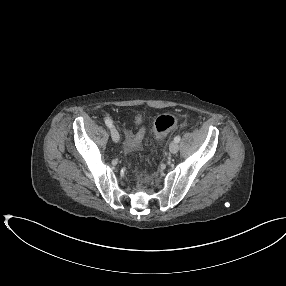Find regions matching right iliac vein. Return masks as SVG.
I'll return each mask as SVG.
<instances>
[{
	"label": "right iliac vein",
	"mask_w": 286,
	"mask_h": 286,
	"mask_svg": "<svg viewBox=\"0 0 286 286\" xmlns=\"http://www.w3.org/2000/svg\"><path fill=\"white\" fill-rule=\"evenodd\" d=\"M111 137H112V140H113L115 143L119 142V139H120L119 133H118V131L116 130L115 127H112V128H111Z\"/></svg>",
	"instance_id": "obj_1"
}]
</instances>
